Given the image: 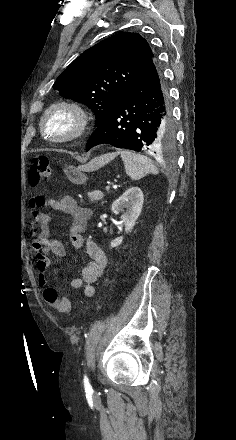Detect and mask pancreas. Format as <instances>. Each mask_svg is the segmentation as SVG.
<instances>
[{"label":"pancreas","mask_w":236,"mask_h":440,"mask_svg":"<svg viewBox=\"0 0 236 440\" xmlns=\"http://www.w3.org/2000/svg\"><path fill=\"white\" fill-rule=\"evenodd\" d=\"M88 197L91 202H97L103 198V193L99 190H95L88 193Z\"/></svg>","instance_id":"cf45deb5"}]
</instances>
